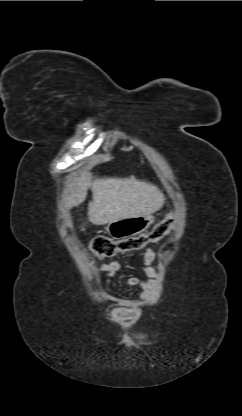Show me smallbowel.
Instances as JSON below:
<instances>
[{
	"instance_id": "1",
	"label": "small bowel",
	"mask_w": 242,
	"mask_h": 416,
	"mask_svg": "<svg viewBox=\"0 0 242 416\" xmlns=\"http://www.w3.org/2000/svg\"><path fill=\"white\" fill-rule=\"evenodd\" d=\"M144 273L147 279H141L139 277H130L127 282L132 287L140 289V293L135 299H118L119 307L113 312V317L119 323L138 318L143 309L149 303L152 288L155 280L159 276L160 269L156 263V253L152 248H147L144 253ZM121 268L119 261H111L101 264L99 270L107 275L108 278H112Z\"/></svg>"
}]
</instances>
